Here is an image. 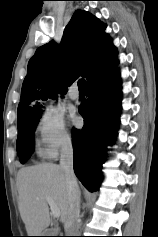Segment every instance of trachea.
Wrapping results in <instances>:
<instances>
[{
  "mask_svg": "<svg viewBox=\"0 0 158 237\" xmlns=\"http://www.w3.org/2000/svg\"><path fill=\"white\" fill-rule=\"evenodd\" d=\"M78 88H79L80 92H85L86 91L85 79H80L78 81Z\"/></svg>",
  "mask_w": 158,
  "mask_h": 237,
  "instance_id": "trachea-1",
  "label": "trachea"
}]
</instances>
